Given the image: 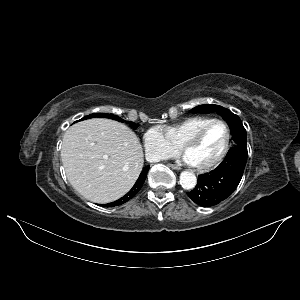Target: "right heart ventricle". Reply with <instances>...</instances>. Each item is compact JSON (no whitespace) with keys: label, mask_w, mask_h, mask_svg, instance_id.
Masks as SVG:
<instances>
[{"label":"right heart ventricle","mask_w":300,"mask_h":300,"mask_svg":"<svg viewBox=\"0 0 300 300\" xmlns=\"http://www.w3.org/2000/svg\"><path fill=\"white\" fill-rule=\"evenodd\" d=\"M212 120L213 118L210 117L193 116L169 125H164L161 128L164 130L170 141L177 147H180L199 128Z\"/></svg>","instance_id":"1"}]
</instances>
